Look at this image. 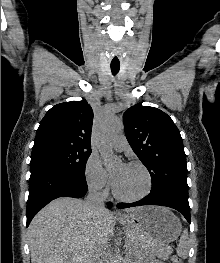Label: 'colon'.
I'll return each instance as SVG.
<instances>
[{
	"mask_svg": "<svg viewBox=\"0 0 220 263\" xmlns=\"http://www.w3.org/2000/svg\"><path fill=\"white\" fill-rule=\"evenodd\" d=\"M170 263H183V261L180 257L173 255L170 259Z\"/></svg>",
	"mask_w": 220,
	"mask_h": 263,
	"instance_id": "1",
	"label": "colon"
}]
</instances>
